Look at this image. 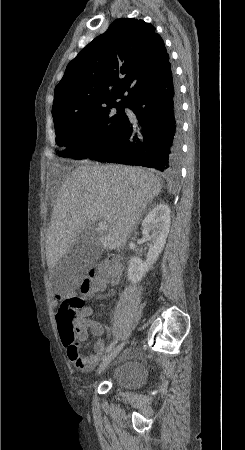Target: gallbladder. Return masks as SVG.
<instances>
[{
  "instance_id": "gallbladder-1",
  "label": "gallbladder",
  "mask_w": 245,
  "mask_h": 450,
  "mask_svg": "<svg viewBox=\"0 0 245 450\" xmlns=\"http://www.w3.org/2000/svg\"><path fill=\"white\" fill-rule=\"evenodd\" d=\"M103 247L96 238L89 234H82L75 239L68 252L60 259L59 266H64L72 273L80 274L84 269L90 267L101 256Z\"/></svg>"
}]
</instances>
